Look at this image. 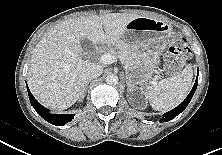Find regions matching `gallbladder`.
Wrapping results in <instances>:
<instances>
[{"mask_svg":"<svg viewBox=\"0 0 222 155\" xmlns=\"http://www.w3.org/2000/svg\"><path fill=\"white\" fill-rule=\"evenodd\" d=\"M81 46H82L83 51L87 55H90L95 51L94 45L88 39L82 38L81 39Z\"/></svg>","mask_w":222,"mask_h":155,"instance_id":"bac80fb5","label":"gallbladder"}]
</instances>
